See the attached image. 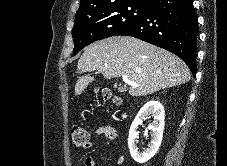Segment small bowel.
<instances>
[{"mask_svg": "<svg viewBox=\"0 0 227 166\" xmlns=\"http://www.w3.org/2000/svg\"><path fill=\"white\" fill-rule=\"evenodd\" d=\"M93 134L95 136H102L105 138V147L114 153V161L117 164L123 163L125 155L118 151L112 144V141L116 140L118 137L117 131L106 125H99L93 128ZM98 161L90 156L84 158V166H97Z\"/></svg>", "mask_w": 227, "mask_h": 166, "instance_id": "c3829d8e", "label": "small bowel"}]
</instances>
